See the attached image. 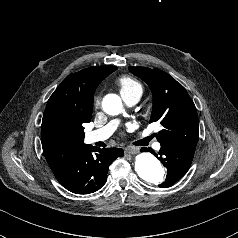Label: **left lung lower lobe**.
I'll return each instance as SVG.
<instances>
[{"label":"left lung lower lobe","mask_w":238,"mask_h":238,"mask_svg":"<svg viewBox=\"0 0 238 238\" xmlns=\"http://www.w3.org/2000/svg\"><path fill=\"white\" fill-rule=\"evenodd\" d=\"M195 148L194 146L161 143L159 157L153 153L167 168V177L159 187H171L186 174L193 160Z\"/></svg>","instance_id":"obj_1"}]
</instances>
